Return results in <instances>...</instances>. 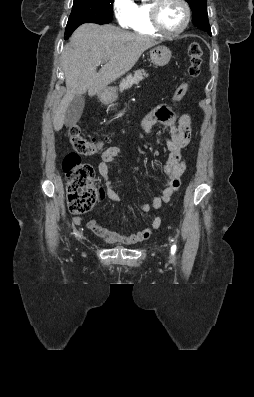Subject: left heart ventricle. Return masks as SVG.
I'll list each match as a JSON object with an SVG mask.
<instances>
[{
    "mask_svg": "<svg viewBox=\"0 0 254 397\" xmlns=\"http://www.w3.org/2000/svg\"><path fill=\"white\" fill-rule=\"evenodd\" d=\"M160 23L167 31L177 30L184 20V9L177 0H166L160 9Z\"/></svg>",
    "mask_w": 254,
    "mask_h": 397,
    "instance_id": "1",
    "label": "left heart ventricle"
}]
</instances>
